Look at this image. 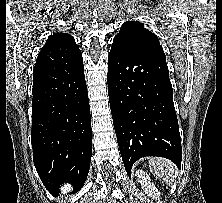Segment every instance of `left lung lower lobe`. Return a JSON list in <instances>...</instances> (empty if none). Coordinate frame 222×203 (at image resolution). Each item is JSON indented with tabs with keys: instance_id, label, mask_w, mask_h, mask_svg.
<instances>
[{
	"instance_id": "left-lung-lower-lobe-1",
	"label": "left lung lower lobe",
	"mask_w": 222,
	"mask_h": 203,
	"mask_svg": "<svg viewBox=\"0 0 222 203\" xmlns=\"http://www.w3.org/2000/svg\"><path fill=\"white\" fill-rule=\"evenodd\" d=\"M108 94L117 141L128 175L145 156L181 167L182 148L165 54L141 42L113 41Z\"/></svg>"
}]
</instances>
